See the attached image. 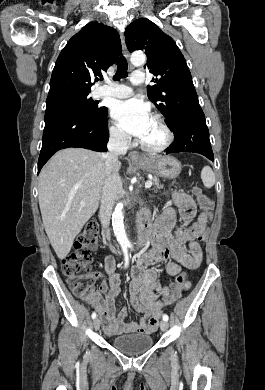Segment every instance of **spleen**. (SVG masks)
<instances>
[{"label": "spleen", "instance_id": "spleen-1", "mask_svg": "<svg viewBox=\"0 0 265 390\" xmlns=\"http://www.w3.org/2000/svg\"><path fill=\"white\" fill-rule=\"evenodd\" d=\"M201 179L206 188H211L215 184V175L210 166H204L201 171Z\"/></svg>", "mask_w": 265, "mask_h": 390}]
</instances>
